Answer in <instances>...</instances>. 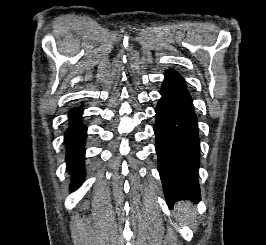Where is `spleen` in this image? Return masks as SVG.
I'll return each instance as SVG.
<instances>
[{
    "mask_svg": "<svg viewBox=\"0 0 266 245\" xmlns=\"http://www.w3.org/2000/svg\"><path fill=\"white\" fill-rule=\"evenodd\" d=\"M190 203H182V205H180L179 207V211H187L188 215H193V213H191V211H189L190 207H189Z\"/></svg>",
    "mask_w": 266,
    "mask_h": 245,
    "instance_id": "spleen-1",
    "label": "spleen"
}]
</instances>
